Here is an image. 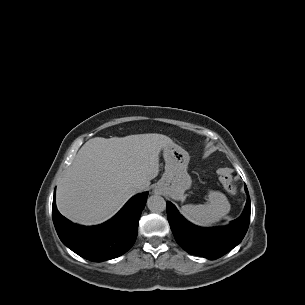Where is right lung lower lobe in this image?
Wrapping results in <instances>:
<instances>
[{"instance_id":"obj_1","label":"right lung lower lobe","mask_w":305,"mask_h":305,"mask_svg":"<svg viewBox=\"0 0 305 305\" xmlns=\"http://www.w3.org/2000/svg\"><path fill=\"white\" fill-rule=\"evenodd\" d=\"M148 192L131 198L111 220L92 227L71 223L56 208L55 192L52 217L61 241L79 256L101 262L119 257L134 244L138 221L145 207Z\"/></svg>"}]
</instances>
